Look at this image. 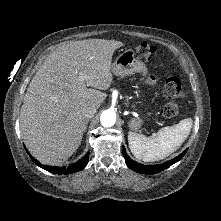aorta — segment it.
I'll list each match as a JSON object with an SVG mask.
<instances>
[{
  "instance_id": "1",
  "label": "aorta",
  "mask_w": 221,
  "mask_h": 221,
  "mask_svg": "<svg viewBox=\"0 0 221 221\" xmlns=\"http://www.w3.org/2000/svg\"><path fill=\"white\" fill-rule=\"evenodd\" d=\"M102 126L111 127L116 122V114L111 110H105L100 117Z\"/></svg>"
}]
</instances>
